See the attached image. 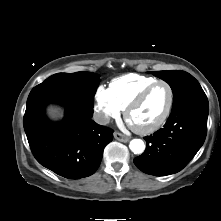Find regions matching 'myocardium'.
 Returning a JSON list of instances; mask_svg holds the SVG:
<instances>
[{"label": "myocardium", "instance_id": "f54148a6", "mask_svg": "<svg viewBox=\"0 0 221 221\" xmlns=\"http://www.w3.org/2000/svg\"><path fill=\"white\" fill-rule=\"evenodd\" d=\"M165 85L168 90H169V102L167 105V108L163 114V116L153 125L148 126V127H136L134 126L131 122H130V115L131 113L138 107L140 106L143 101L147 98V96L149 95V93L158 85ZM174 100H175V94H174V89L171 86L170 83H168L165 80H157L153 83H151L150 85H148L146 88H144L125 108L124 111V117L126 119V121L128 122V124L131 126V128L138 134L141 135H148V134H152L155 133L156 131H158L159 129H161L165 123L167 122V120L169 119L172 109H173V105H174Z\"/></svg>", "mask_w": 221, "mask_h": 221}]
</instances>
